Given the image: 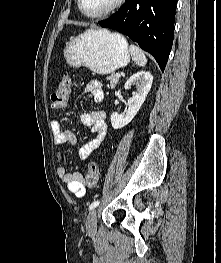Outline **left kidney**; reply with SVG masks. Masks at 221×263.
I'll return each mask as SVG.
<instances>
[{
	"label": "left kidney",
	"mask_w": 221,
	"mask_h": 263,
	"mask_svg": "<svg viewBox=\"0 0 221 263\" xmlns=\"http://www.w3.org/2000/svg\"><path fill=\"white\" fill-rule=\"evenodd\" d=\"M153 82L152 75L147 71H139L132 75L125 83V89L137 86V92L128 100V110L123 114L113 112L111 114V124L114 129H120L129 124L135 117L140 107L144 103Z\"/></svg>",
	"instance_id": "1"
}]
</instances>
